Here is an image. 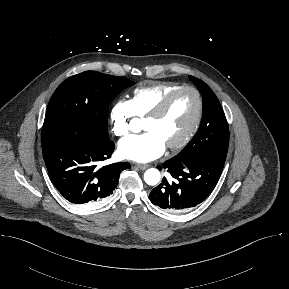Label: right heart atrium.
<instances>
[{"label": "right heart atrium", "mask_w": 289, "mask_h": 289, "mask_svg": "<svg viewBox=\"0 0 289 289\" xmlns=\"http://www.w3.org/2000/svg\"><path fill=\"white\" fill-rule=\"evenodd\" d=\"M133 117L134 112L129 100L119 99L116 101L109 114L113 134L117 137L125 136L130 130Z\"/></svg>", "instance_id": "d8ad5b80"}]
</instances>
